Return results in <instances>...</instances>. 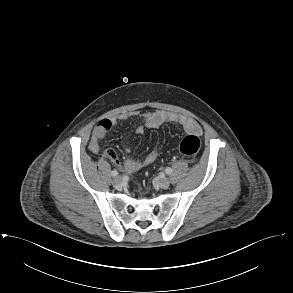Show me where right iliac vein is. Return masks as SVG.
<instances>
[{
    "instance_id": "1",
    "label": "right iliac vein",
    "mask_w": 293,
    "mask_h": 293,
    "mask_svg": "<svg viewBox=\"0 0 293 293\" xmlns=\"http://www.w3.org/2000/svg\"><path fill=\"white\" fill-rule=\"evenodd\" d=\"M113 185L115 187H119L121 184H122V178L121 177H116L114 180H113Z\"/></svg>"
}]
</instances>
